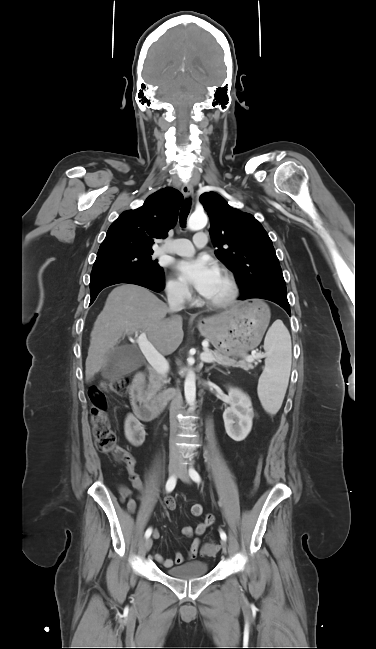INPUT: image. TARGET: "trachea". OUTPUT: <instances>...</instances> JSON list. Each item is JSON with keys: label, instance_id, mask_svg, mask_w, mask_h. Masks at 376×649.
<instances>
[{"label": "trachea", "instance_id": "1", "mask_svg": "<svg viewBox=\"0 0 376 649\" xmlns=\"http://www.w3.org/2000/svg\"><path fill=\"white\" fill-rule=\"evenodd\" d=\"M190 208H191V200L187 199L184 201L179 214L180 224L182 227H185L186 225V220L189 215Z\"/></svg>", "mask_w": 376, "mask_h": 649}]
</instances>
